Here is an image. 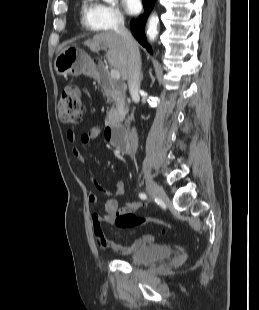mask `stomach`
<instances>
[{
  "instance_id": "0dacf381",
  "label": "stomach",
  "mask_w": 259,
  "mask_h": 310,
  "mask_svg": "<svg viewBox=\"0 0 259 310\" xmlns=\"http://www.w3.org/2000/svg\"><path fill=\"white\" fill-rule=\"evenodd\" d=\"M54 65L61 75H93L90 57L78 47L64 48L56 57Z\"/></svg>"
}]
</instances>
